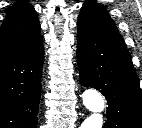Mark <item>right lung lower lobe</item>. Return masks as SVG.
Segmentation results:
<instances>
[{"mask_svg":"<svg viewBox=\"0 0 142 128\" xmlns=\"http://www.w3.org/2000/svg\"><path fill=\"white\" fill-rule=\"evenodd\" d=\"M43 42L0 66V128H37Z\"/></svg>","mask_w":142,"mask_h":128,"instance_id":"obj_1","label":"right lung lower lobe"}]
</instances>
